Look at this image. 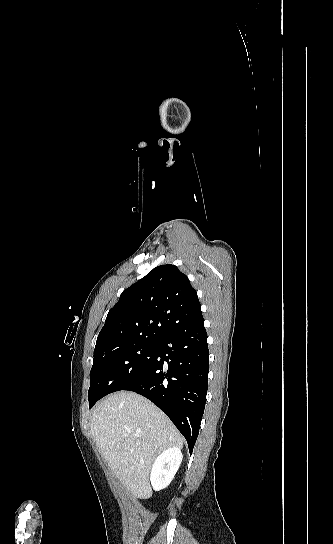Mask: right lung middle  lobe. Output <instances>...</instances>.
Masks as SVG:
<instances>
[{
	"label": "right lung middle lobe",
	"mask_w": 333,
	"mask_h": 544,
	"mask_svg": "<svg viewBox=\"0 0 333 544\" xmlns=\"http://www.w3.org/2000/svg\"><path fill=\"white\" fill-rule=\"evenodd\" d=\"M158 340H136L95 354L90 372L89 407L135 380L154 358Z\"/></svg>",
	"instance_id": "right-lung-middle-lobe-1"
}]
</instances>
